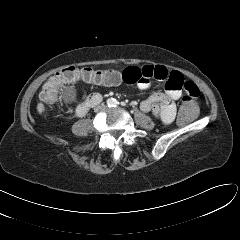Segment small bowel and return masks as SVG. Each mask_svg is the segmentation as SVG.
Masks as SVG:
<instances>
[{"label": "small bowel", "mask_w": 240, "mask_h": 240, "mask_svg": "<svg viewBox=\"0 0 240 240\" xmlns=\"http://www.w3.org/2000/svg\"><path fill=\"white\" fill-rule=\"evenodd\" d=\"M164 80L165 91L155 92L140 104L141 111L152 112L164 124L171 123L176 115V101L180 99L183 92L192 99L199 96L197 86L186 80L178 71H169L166 67L157 65H144L141 67H127L121 74L116 73L112 76H106L96 85L116 86L121 83L127 85L136 84L141 90L150 86V80ZM85 96V91L83 90Z\"/></svg>", "instance_id": "c3829d8e"}]
</instances>
